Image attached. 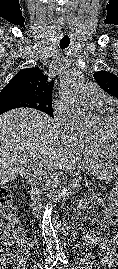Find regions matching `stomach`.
Instances as JSON below:
<instances>
[{"label":"stomach","instance_id":"stomach-1","mask_svg":"<svg viewBox=\"0 0 118 269\" xmlns=\"http://www.w3.org/2000/svg\"><path fill=\"white\" fill-rule=\"evenodd\" d=\"M98 180L110 182L118 175V166L111 161L97 162L86 168Z\"/></svg>","mask_w":118,"mask_h":269}]
</instances>
